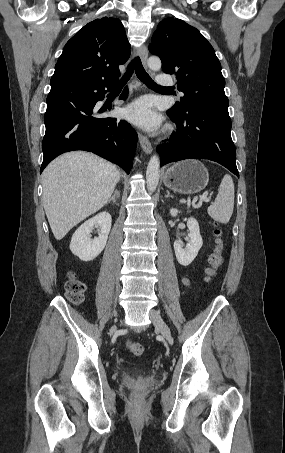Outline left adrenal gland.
<instances>
[{"mask_svg":"<svg viewBox=\"0 0 285 453\" xmlns=\"http://www.w3.org/2000/svg\"><path fill=\"white\" fill-rule=\"evenodd\" d=\"M166 192H167V194L165 195V198H169V197L170 198H174L173 195H170V192L168 190Z\"/></svg>","mask_w":285,"mask_h":453,"instance_id":"obj_1","label":"left adrenal gland"}]
</instances>
